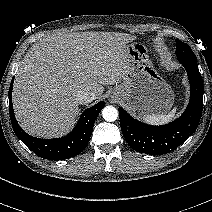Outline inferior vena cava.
<instances>
[{
  "mask_svg": "<svg viewBox=\"0 0 212 212\" xmlns=\"http://www.w3.org/2000/svg\"><path fill=\"white\" fill-rule=\"evenodd\" d=\"M95 99V94L89 91L80 90L77 92L76 100L79 104H87Z\"/></svg>",
  "mask_w": 212,
  "mask_h": 212,
  "instance_id": "obj_1",
  "label": "inferior vena cava"
}]
</instances>
